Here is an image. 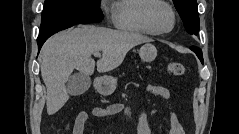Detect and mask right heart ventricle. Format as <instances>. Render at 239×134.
I'll use <instances>...</instances> for the list:
<instances>
[{"mask_svg": "<svg viewBox=\"0 0 239 134\" xmlns=\"http://www.w3.org/2000/svg\"><path fill=\"white\" fill-rule=\"evenodd\" d=\"M149 0H117L114 3V24L117 28L141 33L153 34L145 25L143 11Z\"/></svg>", "mask_w": 239, "mask_h": 134, "instance_id": "right-heart-ventricle-1", "label": "right heart ventricle"}]
</instances>
